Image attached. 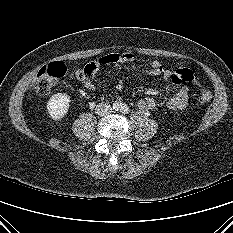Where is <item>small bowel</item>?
Returning a JSON list of instances; mask_svg holds the SVG:
<instances>
[{
    "instance_id": "c3829d8e",
    "label": "small bowel",
    "mask_w": 233,
    "mask_h": 233,
    "mask_svg": "<svg viewBox=\"0 0 233 233\" xmlns=\"http://www.w3.org/2000/svg\"><path fill=\"white\" fill-rule=\"evenodd\" d=\"M135 60L134 55L131 52L122 53H110L102 57L97 58L93 62L96 63V70L94 73L102 66H108L113 64L130 63ZM191 71L186 68H180L176 71H171L165 68L159 61H153L150 65V70L147 72L149 76L154 79H162L171 81L173 84L179 87L178 91L167 101V107L171 110H182L186 107L189 89L185 85L187 82L184 79L185 73H190ZM94 73L83 79L84 87L88 90L95 89V83L93 79ZM155 100L151 97L141 98L137 106L143 112H149L155 107Z\"/></svg>"
}]
</instances>
